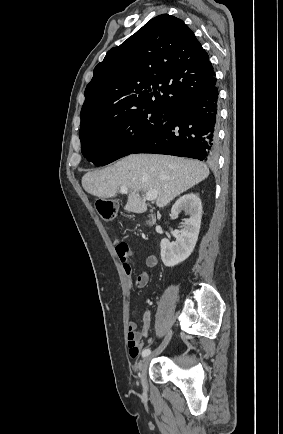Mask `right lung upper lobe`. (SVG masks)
I'll list each match as a JSON object with an SVG mask.
<instances>
[{"label":"right lung upper lobe","instance_id":"cb5924a9","mask_svg":"<svg viewBox=\"0 0 283 434\" xmlns=\"http://www.w3.org/2000/svg\"><path fill=\"white\" fill-rule=\"evenodd\" d=\"M215 84L209 55L193 31L181 19L159 15L94 68L80 130L135 109L167 111Z\"/></svg>","mask_w":283,"mask_h":434}]
</instances>
